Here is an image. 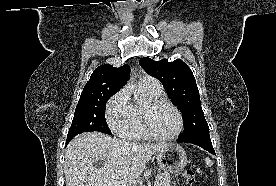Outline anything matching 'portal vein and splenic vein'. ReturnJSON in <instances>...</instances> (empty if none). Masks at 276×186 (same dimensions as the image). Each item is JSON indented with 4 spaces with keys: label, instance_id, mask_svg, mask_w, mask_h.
I'll use <instances>...</instances> for the list:
<instances>
[{
    "label": "portal vein and splenic vein",
    "instance_id": "18ae733b",
    "mask_svg": "<svg viewBox=\"0 0 276 186\" xmlns=\"http://www.w3.org/2000/svg\"><path fill=\"white\" fill-rule=\"evenodd\" d=\"M104 186H121V185L119 183H117V182H110V183H108V184H106ZM154 186H158V182L157 181H155Z\"/></svg>",
    "mask_w": 276,
    "mask_h": 186
}]
</instances>
